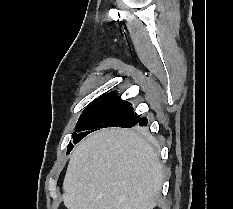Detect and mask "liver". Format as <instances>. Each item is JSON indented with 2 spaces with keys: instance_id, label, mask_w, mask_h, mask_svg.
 I'll list each match as a JSON object with an SVG mask.
<instances>
[{
  "instance_id": "liver-1",
  "label": "liver",
  "mask_w": 233,
  "mask_h": 209,
  "mask_svg": "<svg viewBox=\"0 0 233 209\" xmlns=\"http://www.w3.org/2000/svg\"><path fill=\"white\" fill-rule=\"evenodd\" d=\"M162 184L159 158L141 135L102 129L74 149L62 199L67 209H153Z\"/></svg>"
}]
</instances>
